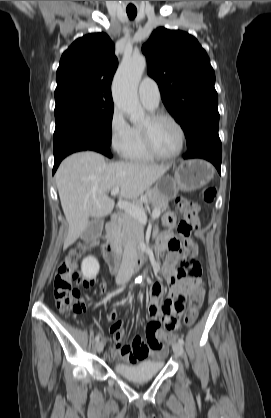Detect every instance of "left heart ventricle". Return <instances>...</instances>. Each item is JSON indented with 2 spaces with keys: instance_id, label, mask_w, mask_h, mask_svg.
<instances>
[{
  "instance_id": "1",
  "label": "left heart ventricle",
  "mask_w": 271,
  "mask_h": 418,
  "mask_svg": "<svg viewBox=\"0 0 271 418\" xmlns=\"http://www.w3.org/2000/svg\"><path fill=\"white\" fill-rule=\"evenodd\" d=\"M149 124L147 119L143 126ZM152 139L156 149L165 155L175 153L180 146V133L168 120H160L151 126Z\"/></svg>"
}]
</instances>
